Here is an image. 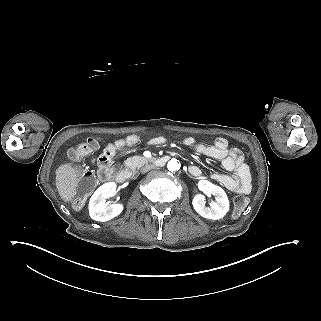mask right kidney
<instances>
[{
    "label": "right kidney",
    "instance_id": "right-kidney-1",
    "mask_svg": "<svg viewBox=\"0 0 321 321\" xmlns=\"http://www.w3.org/2000/svg\"><path fill=\"white\" fill-rule=\"evenodd\" d=\"M116 195V183L108 182L100 186L89 201V214L93 220L109 221L123 211L122 204H108L105 199Z\"/></svg>",
    "mask_w": 321,
    "mask_h": 321
}]
</instances>
